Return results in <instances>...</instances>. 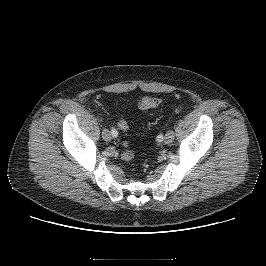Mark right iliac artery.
Instances as JSON below:
<instances>
[{
	"instance_id": "obj_1",
	"label": "right iliac artery",
	"mask_w": 266,
	"mask_h": 266,
	"mask_svg": "<svg viewBox=\"0 0 266 266\" xmlns=\"http://www.w3.org/2000/svg\"><path fill=\"white\" fill-rule=\"evenodd\" d=\"M111 134H112L113 137H117L118 136V132H117V130L115 128H112Z\"/></svg>"
}]
</instances>
